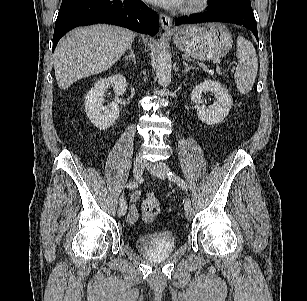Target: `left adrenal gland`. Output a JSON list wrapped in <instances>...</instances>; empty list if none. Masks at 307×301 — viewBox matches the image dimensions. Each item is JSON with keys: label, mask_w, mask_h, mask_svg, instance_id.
Listing matches in <instances>:
<instances>
[{"label": "left adrenal gland", "mask_w": 307, "mask_h": 301, "mask_svg": "<svg viewBox=\"0 0 307 301\" xmlns=\"http://www.w3.org/2000/svg\"><path fill=\"white\" fill-rule=\"evenodd\" d=\"M183 65L185 66L184 73L189 72L190 69H195V67L189 66L188 63H186L185 61L183 62Z\"/></svg>", "instance_id": "obj_1"}]
</instances>
